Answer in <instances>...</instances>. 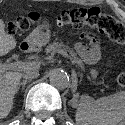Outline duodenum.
Returning <instances> with one entry per match:
<instances>
[{
  "instance_id": "1",
  "label": "duodenum",
  "mask_w": 125,
  "mask_h": 125,
  "mask_svg": "<svg viewBox=\"0 0 125 125\" xmlns=\"http://www.w3.org/2000/svg\"><path fill=\"white\" fill-rule=\"evenodd\" d=\"M20 48H21L22 50H26V49L28 48L27 43H25V42L21 43V44H20Z\"/></svg>"
}]
</instances>
